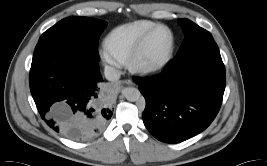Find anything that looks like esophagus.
Returning <instances> with one entry per match:
<instances>
[{
	"label": "esophagus",
	"instance_id": "34e87169",
	"mask_svg": "<svg viewBox=\"0 0 267 166\" xmlns=\"http://www.w3.org/2000/svg\"><path fill=\"white\" fill-rule=\"evenodd\" d=\"M125 83L126 84H129V85H132L133 84V82L131 80H126Z\"/></svg>",
	"mask_w": 267,
	"mask_h": 166
}]
</instances>
